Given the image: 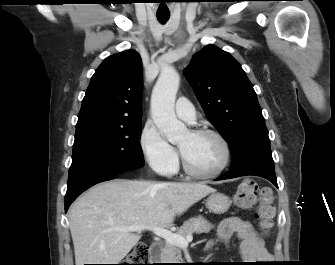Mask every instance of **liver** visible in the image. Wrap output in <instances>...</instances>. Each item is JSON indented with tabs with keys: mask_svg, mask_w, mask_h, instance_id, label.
Wrapping results in <instances>:
<instances>
[{
	"mask_svg": "<svg viewBox=\"0 0 335 265\" xmlns=\"http://www.w3.org/2000/svg\"><path fill=\"white\" fill-rule=\"evenodd\" d=\"M213 192L214 188L203 183L116 179L94 186L69 210L75 264H118L144 229L134 233L116 228H167L176 215Z\"/></svg>",
	"mask_w": 335,
	"mask_h": 265,
	"instance_id": "liver-1",
	"label": "liver"
}]
</instances>
